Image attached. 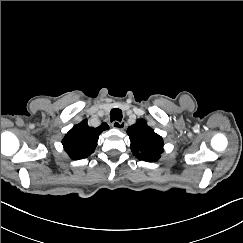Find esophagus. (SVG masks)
<instances>
[{
	"mask_svg": "<svg viewBox=\"0 0 243 243\" xmlns=\"http://www.w3.org/2000/svg\"><path fill=\"white\" fill-rule=\"evenodd\" d=\"M126 124L125 122H119V121H114L112 123V127L115 129L123 130L125 128Z\"/></svg>",
	"mask_w": 243,
	"mask_h": 243,
	"instance_id": "1",
	"label": "esophagus"
}]
</instances>
